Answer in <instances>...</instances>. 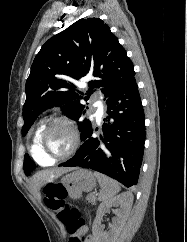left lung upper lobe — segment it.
<instances>
[{
	"label": "left lung upper lobe",
	"instance_id": "1",
	"mask_svg": "<svg viewBox=\"0 0 187 242\" xmlns=\"http://www.w3.org/2000/svg\"><path fill=\"white\" fill-rule=\"evenodd\" d=\"M134 75L132 61L103 20H78L50 38L33 61L26 81L22 135L44 110L58 106L77 122L84 141L92 125L88 119L82 120L88 107L81 101H87L95 88L109 98ZM85 76L91 81L89 90L83 93L78 91L76 81ZM35 166L25 155V174Z\"/></svg>",
	"mask_w": 187,
	"mask_h": 242
}]
</instances>
